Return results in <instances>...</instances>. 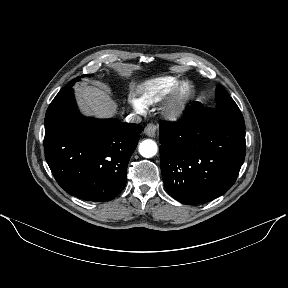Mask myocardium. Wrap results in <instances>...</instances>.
I'll return each instance as SVG.
<instances>
[{
	"instance_id": "f54148a6",
	"label": "myocardium",
	"mask_w": 288,
	"mask_h": 288,
	"mask_svg": "<svg viewBox=\"0 0 288 288\" xmlns=\"http://www.w3.org/2000/svg\"><path fill=\"white\" fill-rule=\"evenodd\" d=\"M196 97L194 85L188 81H182L172 91L164 108L165 116L170 120L179 119L192 105Z\"/></svg>"
}]
</instances>
